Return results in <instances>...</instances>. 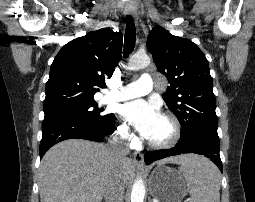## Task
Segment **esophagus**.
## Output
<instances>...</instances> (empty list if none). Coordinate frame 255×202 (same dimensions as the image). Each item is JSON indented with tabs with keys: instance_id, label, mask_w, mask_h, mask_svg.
I'll use <instances>...</instances> for the list:
<instances>
[{
	"instance_id": "34e87169",
	"label": "esophagus",
	"mask_w": 255,
	"mask_h": 202,
	"mask_svg": "<svg viewBox=\"0 0 255 202\" xmlns=\"http://www.w3.org/2000/svg\"><path fill=\"white\" fill-rule=\"evenodd\" d=\"M126 14L128 16H131L132 19L134 21H136L135 17H134V13L131 9H126ZM133 161H134V164L139 167V168H143L144 167V157H143V154L141 152H134L133 153Z\"/></svg>"
}]
</instances>
